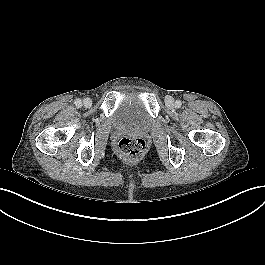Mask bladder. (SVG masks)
<instances>
[{
  "label": "bladder",
  "mask_w": 265,
  "mask_h": 265,
  "mask_svg": "<svg viewBox=\"0 0 265 265\" xmlns=\"http://www.w3.org/2000/svg\"><path fill=\"white\" fill-rule=\"evenodd\" d=\"M113 123L123 128L143 129L151 122L145 100L138 93H126L112 115Z\"/></svg>",
  "instance_id": "1"
}]
</instances>
